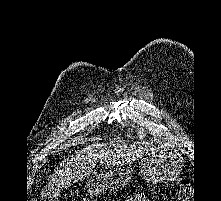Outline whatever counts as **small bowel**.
<instances>
[{
	"mask_svg": "<svg viewBox=\"0 0 221 201\" xmlns=\"http://www.w3.org/2000/svg\"><path fill=\"white\" fill-rule=\"evenodd\" d=\"M127 201H149L146 195L144 194H134L130 196Z\"/></svg>",
	"mask_w": 221,
	"mask_h": 201,
	"instance_id": "c3829d8e",
	"label": "small bowel"
}]
</instances>
